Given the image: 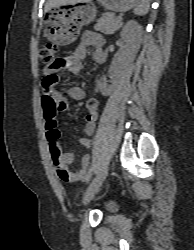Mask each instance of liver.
I'll list each match as a JSON object with an SVG mask.
<instances>
[{
  "mask_svg": "<svg viewBox=\"0 0 194 250\" xmlns=\"http://www.w3.org/2000/svg\"><path fill=\"white\" fill-rule=\"evenodd\" d=\"M91 0H48L45 5V11L47 12L49 9L55 6H65V5H74L77 3H87Z\"/></svg>",
  "mask_w": 194,
  "mask_h": 250,
  "instance_id": "obj_1",
  "label": "liver"
}]
</instances>
